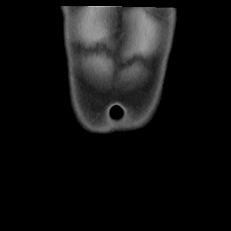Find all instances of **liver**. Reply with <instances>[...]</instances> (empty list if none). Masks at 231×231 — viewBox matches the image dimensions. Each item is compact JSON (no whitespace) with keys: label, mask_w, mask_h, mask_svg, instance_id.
Listing matches in <instances>:
<instances>
[{"label":"liver","mask_w":231,"mask_h":231,"mask_svg":"<svg viewBox=\"0 0 231 231\" xmlns=\"http://www.w3.org/2000/svg\"><path fill=\"white\" fill-rule=\"evenodd\" d=\"M80 32L81 35L84 36L86 34V28L85 25L82 23L81 24V28H80ZM90 34L93 38H97L98 37V31L95 29H91Z\"/></svg>","instance_id":"6515ba94"}]
</instances>
